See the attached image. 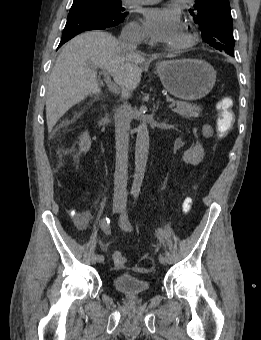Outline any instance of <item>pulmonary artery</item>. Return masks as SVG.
<instances>
[{"mask_svg": "<svg viewBox=\"0 0 261 340\" xmlns=\"http://www.w3.org/2000/svg\"><path fill=\"white\" fill-rule=\"evenodd\" d=\"M133 1L139 4H150V3H155L159 0H133Z\"/></svg>", "mask_w": 261, "mask_h": 340, "instance_id": "e3ab8cb5", "label": "pulmonary artery"}]
</instances>
